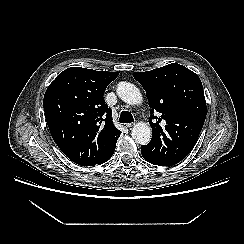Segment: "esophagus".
Wrapping results in <instances>:
<instances>
[{
	"label": "esophagus",
	"mask_w": 244,
	"mask_h": 244,
	"mask_svg": "<svg viewBox=\"0 0 244 244\" xmlns=\"http://www.w3.org/2000/svg\"><path fill=\"white\" fill-rule=\"evenodd\" d=\"M126 126H127L128 128H132V127L134 126V123H127Z\"/></svg>",
	"instance_id": "obj_1"
}]
</instances>
